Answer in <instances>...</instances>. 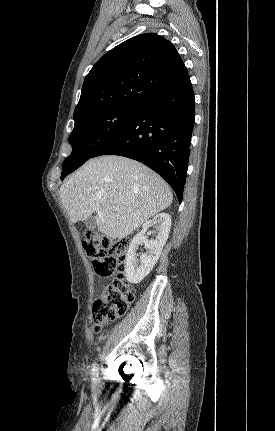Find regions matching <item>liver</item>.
Masks as SVG:
<instances>
[{
	"label": "liver",
	"instance_id": "6515ba94",
	"mask_svg": "<svg viewBox=\"0 0 275 431\" xmlns=\"http://www.w3.org/2000/svg\"><path fill=\"white\" fill-rule=\"evenodd\" d=\"M60 199L72 223L96 212L98 230L111 239H122L169 207L173 196L169 185L145 165L107 155L78 169L61 186Z\"/></svg>",
	"mask_w": 275,
	"mask_h": 431
}]
</instances>
